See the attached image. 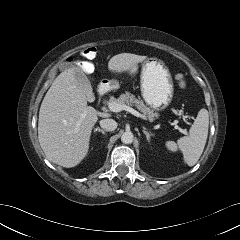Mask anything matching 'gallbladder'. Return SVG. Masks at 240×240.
<instances>
[{"label":"gallbladder","mask_w":240,"mask_h":240,"mask_svg":"<svg viewBox=\"0 0 240 240\" xmlns=\"http://www.w3.org/2000/svg\"><path fill=\"white\" fill-rule=\"evenodd\" d=\"M68 67L69 66H65V68H68ZM75 78H76L78 87H80L84 91V93L87 96V99L89 101H93L94 94L92 92L91 84L87 76L81 71H76Z\"/></svg>","instance_id":"gallbladder-1"}]
</instances>
